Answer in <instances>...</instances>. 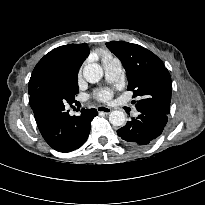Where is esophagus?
<instances>
[{"instance_id":"obj_1","label":"esophagus","mask_w":205,"mask_h":205,"mask_svg":"<svg viewBox=\"0 0 205 205\" xmlns=\"http://www.w3.org/2000/svg\"><path fill=\"white\" fill-rule=\"evenodd\" d=\"M97 111H98L99 113L109 114V113L112 111V109L109 108V107H106V106H98V107H97Z\"/></svg>"}]
</instances>
